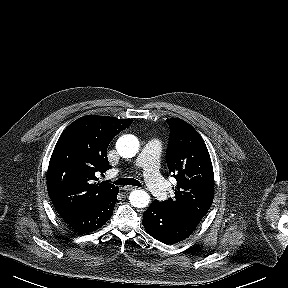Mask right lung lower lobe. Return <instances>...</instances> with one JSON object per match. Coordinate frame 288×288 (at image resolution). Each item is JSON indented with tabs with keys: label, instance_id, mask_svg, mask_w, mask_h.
Wrapping results in <instances>:
<instances>
[{
	"label": "right lung lower lobe",
	"instance_id": "right-lung-lower-lobe-1",
	"mask_svg": "<svg viewBox=\"0 0 288 288\" xmlns=\"http://www.w3.org/2000/svg\"><path fill=\"white\" fill-rule=\"evenodd\" d=\"M118 191L91 208L64 214L61 217L70 227L81 234L95 231L111 218Z\"/></svg>",
	"mask_w": 288,
	"mask_h": 288
}]
</instances>
